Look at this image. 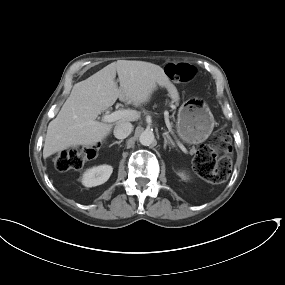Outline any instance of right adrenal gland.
Instances as JSON below:
<instances>
[{"mask_svg":"<svg viewBox=\"0 0 285 285\" xmlns=\"http://www.w3.org/2000/svg\"><path fill=\"white\" fill-rule=\"evenodd\" d=\"M122 142H123V140L115 141V142H113V143L110 145V147L113 146V145H115V144L120 145Z\"/></svg>","mask_w":285,"mask_h":285,"instance_id":"obj_1","label":"right adrenal gland"}]
</instances>
